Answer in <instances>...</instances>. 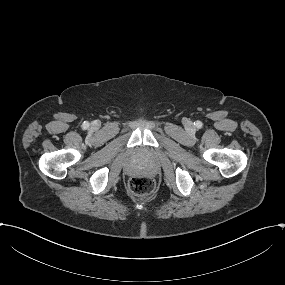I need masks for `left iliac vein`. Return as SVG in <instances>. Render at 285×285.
Returning <instances> with one entry per match:
<instances>
[{
	"mask_svg": "<svg viewBox=\"0 0 285 285\" xmlns=\"http://www.w3.org/2000/svg\"><path fill=\"white\" fill-rule=\"evenodd\" d=\"M188 126L191 127L192 123L191 122H187Z\"/></svg>",
	"mask_w": 285,
	"mask_h": 285,
	"instance_id": "1",
	"label": "left iliac vein"
}]
</instances>
